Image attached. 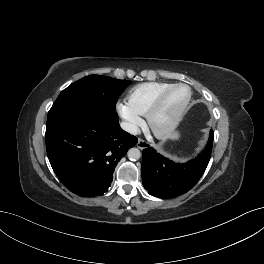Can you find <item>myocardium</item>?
Wrapping results in <instances>:
<instances>
[{
  "label": "myocardium",
  "instance_id": "obj_1",
  "mask_svg": "<svg viewBox=\"0 0 264 264\" xmlns=\"http://www.w3.org/2000/svg\"><path fill=\"white\" fill-rule=\"evenodd\" d=\"M178 87H184L188 90V97L182 107L178 110V112L175 114V116L163 127H158L155 124V118L159 111L161 110L164 101L168 94L175 88ZM192 98V90L191 88L184 83H175L171 84L164 90H162L159 95L156 97L150 108L148 109L146 113V121L147 125L150 128V130L158 137H165L170 135L180 124L189 104Z\"/></svg>",
  "mask_w": 264,
  "mask_h": 264
}]
</instances>
